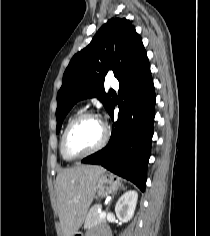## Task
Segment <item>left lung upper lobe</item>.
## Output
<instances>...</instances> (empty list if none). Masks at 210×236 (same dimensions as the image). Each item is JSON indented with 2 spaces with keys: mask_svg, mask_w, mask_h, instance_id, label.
<instances>
[{
  "mask_svg": "<svg viewBox=\"0 0 210 236\" xmlns=\"http://www.w3.org/2000/svg\"><path fill=\"white\" fill-rule=\"evenodd\" d=\"M146 61L147 54L135 27L125 18L110 19L91 43L73 56L64 72L63 84L57 94L56 132L80 99L97 97L109 111L112 100L104 90L107 72L113 71L121 83Z\"/></svg>",
  "mask_w": 210,
  "mask_h": 236,
  "instance_id": "5c2ea615",
  "label": "left lung upper lobe"
}]
</instances>
